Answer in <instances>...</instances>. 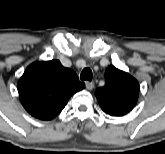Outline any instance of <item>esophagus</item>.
Returning <instances> with one entry per match:
<instances>
[{
	"label": "esophagus",
	"mask_w": 165,
	"mask_h": 154,
	"mask_svg": "<svg viewBox=\"0 0 165 154\" xmlns=\"http://www.w3.org/2000/svg\"><path fill=\"white\" fill-rule=\"evenodd\" d=\"M85 86L88 90H92L94 88V83L90 81H86Z\"/></svg>",
	"instance_id": "34e87169"
}]
</instances>
